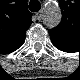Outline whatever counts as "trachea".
I'll return each instance as SVG.
<instances>
[{
	"label": "trachea",
	"instance_id": "1",
	"mask_svg": "<svg viewBox=\"0 0 80 80\" xmlns=\"http://www.w3.org/2000/svg\"><path fill=\"white\" fill-rule=\"evenodd\" d=\"M29 9L32 12H38L41 9V4L38 0H31L29 2Z\"/></svg>",
	"mask_w": 80,
	"mask_h": 80
}]
</instances>
